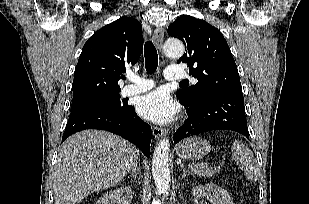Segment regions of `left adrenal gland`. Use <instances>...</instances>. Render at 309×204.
<instances>
[{"label":"left adrenal gland","instance_id":"1","mask_svg":"<svg viewBox=\"0 0 309 204\" xmlns=\"http://www.w3.org/2000/svg\"><path fill=\"white\" fill-rule=\"evenodd\" d=\"M181 171H182L181 180H183L186 175H190V173L188 171H186V169H184V167L182 165H181Z\"/></svg>","mask_w":309,"mask_h":204}]
</instances>
